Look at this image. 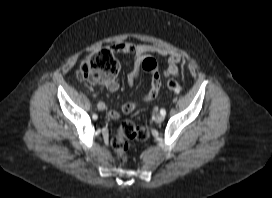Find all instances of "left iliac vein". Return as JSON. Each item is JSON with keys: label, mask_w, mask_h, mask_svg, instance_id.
<instances>
[{"label": "left iliac vein", "mask_w": 272, "mask_h": 198, "mask_svg": "<svg viewBox=\"0 0 272 198\" xmlns=\"http://www.w3.org/2000/svg\"><path fill=\"white\" fill-rule=\"evenodd\" d=\"M163 120H164V115L158 114V115L155 116V122L156 123H161V122H163Z\"/></svg>", "instance_id": "left-iliac-vein-1"}]
</instances>
